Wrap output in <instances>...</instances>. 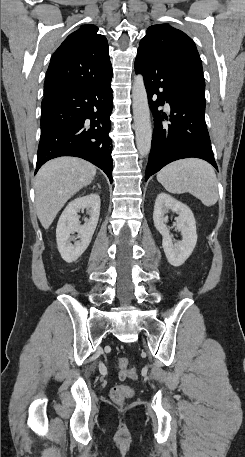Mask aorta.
Listing matches in <instances>:
<instances>
[{"label":"aorta","instance_id":"aorta-1","mask_svg":"<svg viewBox=\"0 0 245 457\" xmlns=\"http://www.w3.org/2000/svg\"><path fill=\"white\" fill-rule=\"evenodd\" d=\"M132 99L136 145L139 154L144 157L151 149L152 127L147 92L141 74L134 77Z\"/></svg>","mask_w":245,"mask_h":457}]
</instances>
